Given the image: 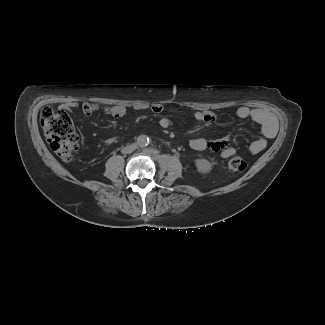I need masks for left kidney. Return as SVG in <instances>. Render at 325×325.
<instances>
[{"label": "left kidney", "mask_w": 325, "mask_h": 325, "mask_svg": "<svg viewBox=\"0 0 325 325\" xmlns=\"http://www.w3.org/2000/svg\"><path fill=\"white\" fill-rule=\"evenodd\" d=\"M195 165L198 172L203 174L209 173L212 169V164L206 159H196Z\"/></svg>", "instance_id": "left-kidney-1"}]
</instances>
